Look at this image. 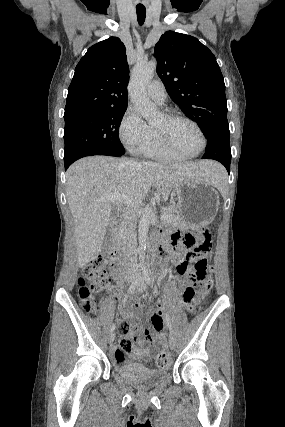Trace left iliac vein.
Returning a JSON list of instances; mask_svg holds the SVG:
<instances>
[{
  "instance_id": "4c4485c4",
  "label": "left iliac vein",
  "mask_w": 285,
  "mask_h": 427,
  "mask_svg": "<svg viewBox=\"0 0 285 427\" xmlns=\"http://www.w3.org/2000/svg\"><path fill=\"white\" fill-rule=\"evenodd\" d=\"M139 282L141 284V288H139V290H145L146 285L144 284V280L141 277H139ZM169 346L172 350H175L176 348V343L172 336L169 337Z\"/></svg>"
}]
</instances>
